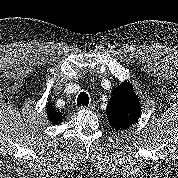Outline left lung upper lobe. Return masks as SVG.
<instances>
[{"label":"left lung upper lobe","instance_id":"1","mask_svg":"<svg viewBox=\"0 0 178 178\" xmlns=\"http://www.w3.org/2000/svg\"><path fill=\"white\" fill-rule=\"evenodd\" d=\"M140 109V102L132 85L125 81L113 89L107 108L109 123L117 131L127 129L138 121Z\"/></svg>","mask_w":178,"mask_h":178}]
</instances>
